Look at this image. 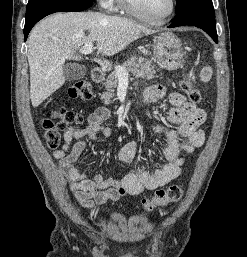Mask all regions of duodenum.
Segmentation results:
<instances>
[{
	"label": "duodenum",
	"mask_w": 247,
	"mask_h": 257,
	"mask_svg": "<svg viewBox=\"0 0 247 257\" xmlns=\"http://www.w3.org/2000/svg\"><path fill=\"white\" fill-rule=\"evenodd\" d=\"M92 81L95 83H99L104 79V73L99 67H95L91 71Z\"/></svg>",
	"instance_id": "duodenum-1"
}]
</instances>
